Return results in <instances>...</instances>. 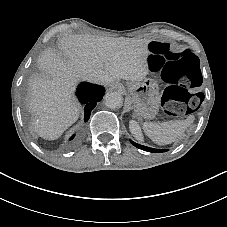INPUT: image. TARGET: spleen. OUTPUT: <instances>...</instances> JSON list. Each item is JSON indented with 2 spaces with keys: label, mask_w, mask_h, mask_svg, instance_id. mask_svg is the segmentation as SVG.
<instances>
[{
  "label": "spleen",
  "mask_w": 227,
  "mask_h": 227,
  "mask_svg": "<svg viewBox=\"0 0 227 227\" xmlns=\"http://www.w3.org/2000/svg\"><path fill=\"white\" fill-rule=\"evenodd\" d=\"M193 120L194 117L189 116L185 120L144 123L142 124V129L152 141L164 145L176 141Z\"/></svg>",
  "instance_id": "obj_1"
}]
</instances>
